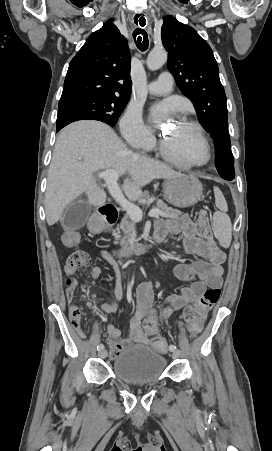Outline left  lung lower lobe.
Here are the masks:
<instances>
[{
	"mask_svg": "<svg viewBox=\"0 0 272 451\" xmlns=\"http://www.w3.org/2000/svg\"><path fill=\"white\" fill-rule=\"evenodd\" d=\"M233 178H226V180H232Z\"/></svg>",
	"mask_w": 272,
	"mask_h": 451,
	"instance_id": "1",
	"label": "left lung lower lobe"
}]
</instances>
